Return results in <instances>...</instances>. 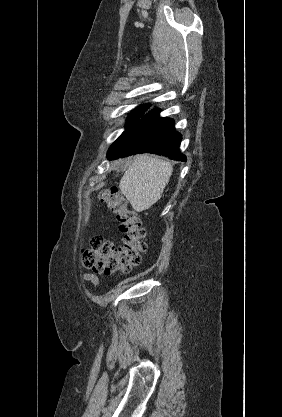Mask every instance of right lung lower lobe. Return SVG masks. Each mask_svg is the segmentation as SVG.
Masks as SVG:
<instances>
[{"instance_id":"98d812e1","label":"right lung lower lobe","mask_w":282,"mask_h":417,"mask_svg":"<svg viewBox=\"0 0 282 417\" xmlns=\"http://www.w3.org/2000/svg\"><path fill=\"white\" fill-rule=\"evenodd\" d=\"M182 137L174 128V120L160 118L158 111L141 117L129 125L109 148L110 159L139 153L163 155L177 161H186L178 149Z\"/></svg>"}]
</instances>
